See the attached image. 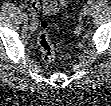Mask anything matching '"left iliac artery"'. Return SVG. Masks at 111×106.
I'll use <instances>...</instances> for the list:
<instances>
[{"label": "left iliac artery", "mask_w": 111, "mask_h": 106, "mask_svg": "<svg viewBox=\"0 0 111 106\" xmlns=\"http://www.w3.org/2000/svg\"><path fill=\"white\" fill-rule=\"evenodd\" d=\"M88 4H92V0H88Z\"/></svg>", "instance_id": "44dca946"}]
</instances>
